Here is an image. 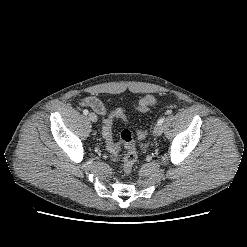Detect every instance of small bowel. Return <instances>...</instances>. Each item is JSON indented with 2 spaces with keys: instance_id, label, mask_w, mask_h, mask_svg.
Returning a JSON list of instances; mask_svg holds the SVG:
<instances>
[{
  "instance_id": "obj_1",
  "label": "small bowel",
  "mask_w": 247,
  "mask_h": 247,
  "mask_svg": "<svg viewBox=\"0 0 247 247\" xmlns=\"http://www.w3.org/2000/svg\"><path fill=\"white\" fill-rule=\"evenodd\" d=\"M82 104L84 106L90 107L91 109H93L98 114L103 115L106 113V108H105L104 104L98 98H96L94 96H90V97L85 98L83 100ZM113 156H116V154Z\"/></svg>"
}]
</instances>
